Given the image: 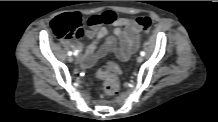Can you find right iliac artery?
<instances>
[{
	"label": "right iliac artery",
	"instance_id": "82829eb1",
	"mask_svg": "<svg viewBox=\"0 0 218 122\" xmlns=\"http://www.w3.org/2000/svg\"><path fill=\"white\" fill-rule=\"evenodd\" d=\"M68 55L71 56V55H72V51H69V52H68Z\"/></svg>",
	"mask_w": 218,
	"mask_h": 122
}]
</instances>
